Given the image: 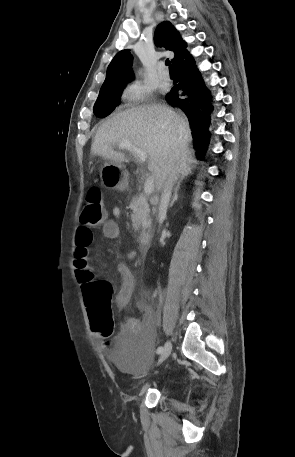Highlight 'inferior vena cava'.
Instances as JSON below:
<instances>
[{
	"label": "inferior vena cava",
	"instance_id": "obj_1",
	"mask_svg": "<svg viewBox=\"0 0 295 457\" xmlns=\"http://www.w3.org/2000/svg\"><path fill=\"white\" fill-rule=\"evenodd\" d=\"M177 179V171L175 168L171 169V172L166 176L163 182L162 187V194L159 204V213H158V220L159 223H163L166 218L168 203L171 197L172 189L174 182Z\"/></svg>",
	"mask_w": 295,
	"mask_h": 457
}]
</instances>
